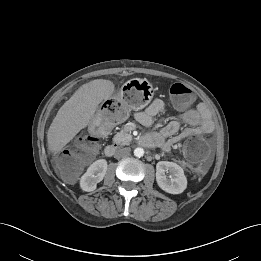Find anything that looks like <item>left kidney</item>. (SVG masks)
Segmentation results:
<instances>
[{"mask_svg":"<svg viewBox=\"0 0 261 261\" xmlns=\"http://www.w3.org/2000/svg\"><path fill=\"white\" fill-rule=\"evenodd\" d=\"M169 172V177L166 176ZM156 181L158 186L167 193L180 194L187 187V178L183 169L174 162L160 161L156 165Z\"/></svg>","mask_w":261,"mask_h":261,"instance_id":"1","label":"left kidney"}]
</instances>
